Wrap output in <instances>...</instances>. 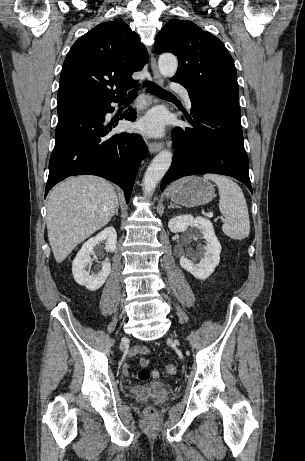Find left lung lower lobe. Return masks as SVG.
I'll use <instances>...</instances> for the list:
<instances>
[{
  "label": "left lung lower lobe",
  "instance_id": "1",
  "mask_svg": "<svg viewBox=\"0 0 305 461\" xmlns=\"http://www.w3.org/2000/svg\"><path fill=\"white\" fill-rule=\"evenodd\" d=\"M193 128L174 129V156L161 189L180 177L200 173L232 176L252 193L248 157L244 149L238 93L188 91Z\"/></svg>",
  "mask_w": 305,
  "mask_h": 461
}]
</instances>
